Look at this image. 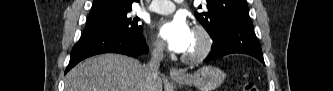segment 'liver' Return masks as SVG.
<instances>
[{"label":"liver","instance_id":"6515ba94","mask_svg":"<svg viewBox=\"0 0 333 91\" xmlns=\"http://www.w3.org/2000/svg\"><path fill=\"white\" fill-rule=\"evenodd\" d=\"M65 91H162V80L149 83L145 66L134 58L103 54L70 70Z\"/></svg>","mask_w":333,"mask_h":91}]
</instances>
